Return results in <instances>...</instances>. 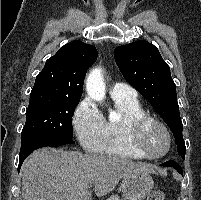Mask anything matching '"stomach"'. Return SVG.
<instances>
[{"label": "stomach", "mask_w": 201, "mask_h": 200, "mask_svg": "<svg viewBox=\"0 0 201 200\" xmlns=\"http://www.w3.org/2000/svg\"><path fill=\"white\" fill-rule=\"evenodd\" d=\"M152 177L145 172L130 173L123 177L121 188L129 200H143L153 189Z\"/></svg>", "instance_id": "stomach-1"}]
</instances>
